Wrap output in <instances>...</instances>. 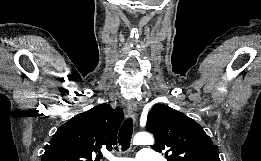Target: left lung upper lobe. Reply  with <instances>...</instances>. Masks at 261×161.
<instances>
[{"label":"left lung upper lobe","instance_id":"left-lung-upper-lobe-1","mask_svg":"<svg viewBox=\"0 0 261 161\" xmlns=\"http://www.w3.org/2000/svg\"><path fill=\"white\" fill-rule=\"evenodd\" d=\"M146 129L155 136L151 148L166 151L168 161H220L217 146L203 128L167 105L158 104L150 110Z\"/></svg>","mask_w":261,"mask_h":161}]
</instances>
